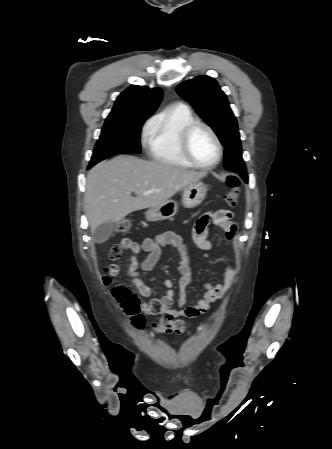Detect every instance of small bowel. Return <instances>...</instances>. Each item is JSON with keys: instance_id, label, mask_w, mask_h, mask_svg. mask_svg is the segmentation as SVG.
<instances>
[{"instance_id": "1", "label": "small bowel", "mask_w": 332, "mask_h": 449, "mask_svg": "<svg viewBox=\"0 0 332 449\" xmlns=\"http://www.w3.org/2000/svg\"><path fill=\"white\" fill-rule=\"evenodd\" d=\"M234 214L231 211L218 209L200 215L193 226V242L200 250H210L214 242L209 238V227L214 225L223 231L227 240H233L237 225L233 221ZM127 242L126 248L131 251L129 266L126 272L127 279L133 284L142 297H149L152 289L141 279V271H150L160 259L162 249L171 247L177 250L180 256L178 270L181 275L179 280L178 308H172L174 300V284L172 280L164 277L166 292L160 298H153L149 302L141 304V310L148 315H171L173 317L183 316L186 318H196L206 313L211 305L219 300L232 286L237 266L229 261L224 262V273L222 281H213L205 286L202 297L193 305L187 306L186 286L190 281V255L187 246L182 238L173 232H164L155 238H146L141 242L124 239ZM146 253V258L139 263L138 255ZM140 269V270H139ZM105 274L102 276L105 285L116 283V277L120 272L117 264L105 267Z\"/></svg>"}]
</instances>
